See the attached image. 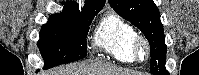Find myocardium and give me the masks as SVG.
<instances>
[{
	"instance_id": "obj_1",
	"label": "myocardium",
	"mask_w": 199,
	"mask_h": 75,
	"mask_svg": "<svg viewBox=\"0 0 199 75\" xmlns=\"http://www.w3.org/2000/svg\"><path fill=\"white\" fill-rule=\"evenodd\" d=\"M144 49V56L140 57L139 51L140 49ZM150 43L149 41L142 35H136L132 41V53L134 59L140 63L147 61L150 58Z\"/></svg>"
}]
</instances>
